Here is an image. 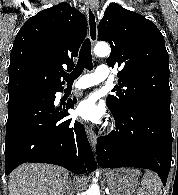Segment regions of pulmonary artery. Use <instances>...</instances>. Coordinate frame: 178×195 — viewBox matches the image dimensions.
Returning a JSON list of instances; mask_svg holds the SVG:
<instances>
[{
	"mask_svg": "<svg viewBox=\"0 0 178 195\" xmlns=\"http://www.w3.org/2000/svg\"><path fill=\"white\" fill-rule=\"evenodd\" d=\"M110 69L106 65H100L94 73L81 76L72 86L73 90H82L92 87L109 79Z\"/></svg>",
	"mask_w": 178,
	"mask_h": 195,
	"instance_id": "pulmonary-artery-1",
	"label": "pulmonary artery"
}]
</instances>
